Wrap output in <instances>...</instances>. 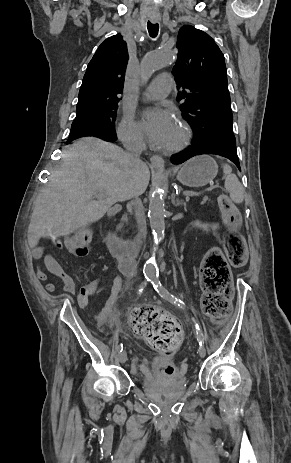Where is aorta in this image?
Listing matches in <instances>:
<instances>
[{
  "label": "aorta",
  "instance_id": "obj_1",
  "mask_svg": "<svg viewBox=\"0 0 291 463\" xmlns=\"http://www.w3.org/2000/svg\"><path fill=\"white\" fill-rule=\"evenodd\" d=\"M175 60V52L172 50H158L149 53L141 62L140 76L143 83L157 70L171 64ZM165 202L164 192L162 189H155L149 202V220L150 226L153 231V236L156 241H160L164 237L165 231ZM144 275L147 278H154L157 276L156 263L150 259L144 266Z\"/></svg>",
  "mask_w": 291,
  "mask_h": 463
}]
</instances>
